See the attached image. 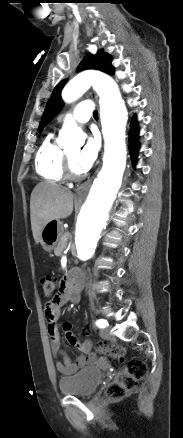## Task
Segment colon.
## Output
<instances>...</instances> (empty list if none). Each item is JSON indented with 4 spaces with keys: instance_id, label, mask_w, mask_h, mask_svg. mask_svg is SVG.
<instances>
[{
    "instance_id": "obj_1",
    "label": "colon",
    "mask_w": 183,
    "mask_h": 438,
    "mask_svg": "<svg viewBox=\"0 0 183 438\" xmlns=\"http://www.w3.org/2000/svg\"><path fill=\"white\" fill-rule=\"evenodd\" d=\"M58 281L52 277H45L41 280L43 295L45 298H51L57 288ZM97 350L107 355L118 362L125 361L126 350L124 347L107 343L99 342ZM147 365L144 361L134 359L128 361L117 376L109 383L107 394L112 398H120L131 392L147 375Z\"/></svg>"
}]
</instances>
